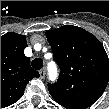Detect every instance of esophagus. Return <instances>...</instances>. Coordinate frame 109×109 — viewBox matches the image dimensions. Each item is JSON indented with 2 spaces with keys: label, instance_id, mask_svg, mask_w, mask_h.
<instances>
[{
  "label": "esophagus",
  "instance_id": "esophagus-1",
  "mask_svg": "<svg viewBox=\"0 0 109 109\" xmlns=\"http://www.w3.org/2000/svg\"><path fill=\"white\" fill-rule=\"evenodd\" d=\"M45 74H46V71L44 68L39 71V75H40L41 79H43L45 77Z\"/></svg>",
  "mask_w": 109,
  "mask_h": 109
}]
</instances>
